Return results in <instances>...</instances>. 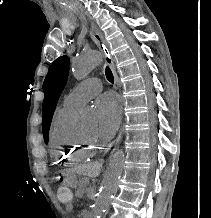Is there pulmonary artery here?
<instances>
[{"label": "pulmonary artery", "mask_w": 211, "mask_h": 218, "mask_svg": "<svg viewBox=\"0 0 211 218\" xmlns=\"http://www.w3.org/2000/svg\"><path fill=\"white\" fill-rule=\"evenodd\" d=\"M100 89V80L97 78H90L69 92L63 100V106L68 108H79L89 99L94 97Z\"/></svg>", "instance_id": "1"}]
</instances>
